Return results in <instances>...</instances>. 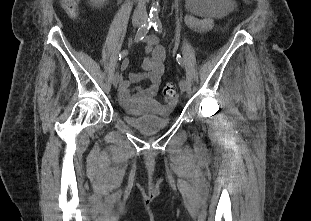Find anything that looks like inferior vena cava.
I'll return each mask as SVG.
<instances>
[{"label": "inferior vena cava", "mask_w": 311, "mask_h": 221, "mask_svg": "<svg viewBox=\"0 0 311 221\" xmlns=\"http://www.w3.org/2000/svg\"><path fill=\"white\" fill-rule=\"evenodd\" d=\"M135 14H140V16H146V0H138L137 6L134 10V16Z\"/></svg>", "instance_id": "602c4592"}]
</instances>
